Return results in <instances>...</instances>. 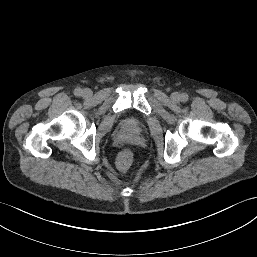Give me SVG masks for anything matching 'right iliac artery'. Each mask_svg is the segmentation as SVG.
Masks as SVG:
<instances>
[{
  "mask_svg": "<svg viewBox=\"0 0 257 257\" xmlns=\"http://www.w3.org/2000/svg\"><path fill=\"white\" fill-rule=\"evenodd\" d=\"M74 94H75L76 96H80V95L82 94V90H81L80 88H76V89L74 90Z\"/></svg>",
  "mask_w": 257,
  "mask_h": 257,
  "instance_id": "right-iliac-artery-1",
  "label": "right iliac artery"
}]
</instances>
